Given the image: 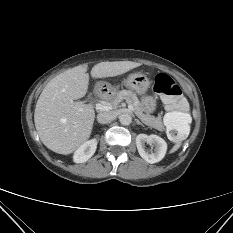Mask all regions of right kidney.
Here are the masks:
<instances>
[{"label":"right kidney","mask_w":233,"mask_h":233,"mask_svg":"<svg viewBox=\"0 0 233 233\" xmlns=\"http://www.w3.org/2000/svg\"><path fill=\"white\" fill-rule=\"evenodd\" d=\"M97 148V140L91 139L83 143L74 153L73 160L75 163H83L90 159Z\"/></svg>","instance_id":"obj_1"}]
</instances>
